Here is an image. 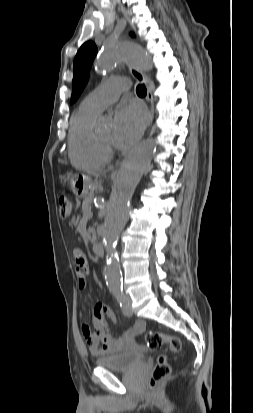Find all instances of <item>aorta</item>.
Wrapping results in <instances>:
<instances>
[{"mask_svg": "<svg viewBox=\"0 0 253 413\" xmlns=\"http://www.w3.org/2000/svg\"><path fill=\"white\" fill-rule=\"evenodd\" d=\"M119 61H125L142 69L151 66L146 51L138 44L121 41L106 48L96 63L98 72L109 71ZM156 144L147 140L135 147L123 161L118 172L117 195L111 203L102 228V239L106 249L107 268L105 279L112 291L121 287L120 264L116 252V244L123 226L124 212L142 177L150 165Z\"/></svg>", "mask_w": 253, "mask_h": 413, "instance_id": "762f6f07", "label": "aorta"}]
</instances>
